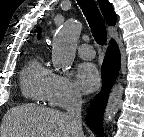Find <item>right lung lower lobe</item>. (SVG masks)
I'll list each match as a JSON object with an SVG mask.
<instances>
[{
	"instance_id": "98d812e1",
	"label": "right lung lower lobe",
	"mask_w": 144,
	"mask_h": 137,
	"mask_svg": "<svg viewBox=\"0 0 144 137\" xmlns=\"http://www.w3.org/2000/svg\"><path fill=\"white\" fill-rule=\"evenodd\" d=\"M120 68V52L117 44L111 40L106 51L105 59L101 68L102 90L91 102L86 115V123L98 137H103L102 119L107 104L108 94L117 78Z\"/></svg>"
}]
</instances>
